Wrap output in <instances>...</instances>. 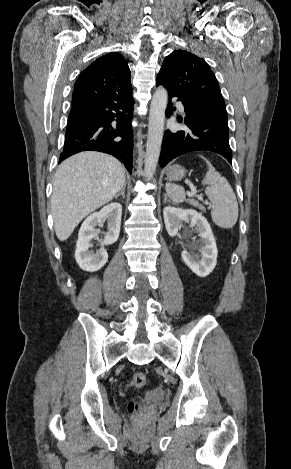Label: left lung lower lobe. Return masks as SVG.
Segmentation results:
<instances>
[{"instance_id": "1", "label": "left lung lower lobe", "mask_w": 291, "mask_h": 469, "mask_svg": "<svg viewBox=\"0 0 291 469\" xmlns=\"http://www.w3.org/2000/svg\"><path fill=\"white\" fill-rule=\"evenodd\" d=\"M157 85H161L157 83ZM169 99L178 97L184 105L186 117L184 123L186 131L171 132L166 130L162 142L159 163L166 166L172 159L191 151L206 150L221 154L230 163L232 152L229 146L227 116L213 112L196 103L169 92ZM171 101L166 109V115L173 113ZM181 122V120H179Z\"/></svg>"}]
</instances>
